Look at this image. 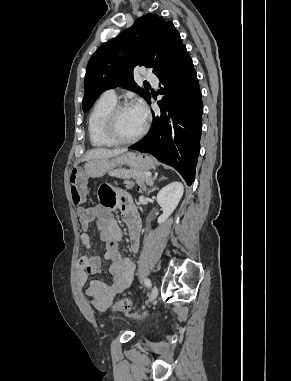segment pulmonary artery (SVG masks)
Returning a JSON list of instances; mask_svg holds the SVG:
<instances>
[{"label":"pulmonary artery","instance_id":"1","mask_svg":"<svg viewBox=\"0 0 291 381\" xmlns=\"http://www.w3.org/2000/svg\"><path fill=\"white\" fill-rule=\"evenodd\" d=\"M143 75H144L145 79L148 80L149 82H151L155 85L158 84V79L151 72V70L143 69ZM103 96L111 98V99H117V93L114 89H109V90L105 91Z\"/></svg>","mask_w":291,"mask_h":381}]
</instances>
